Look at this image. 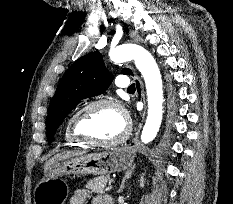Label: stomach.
I'll return each instance as SVG.
<instances>
[{
	"label": "stomach",
	"mask_w": 233,
	"mask_h": 204,
	"mask_svg": "<svg viewBox=\"0 0 233 204\" xmlns=\"http://www.w3.org/2000/svg\"><path fill=\"white\" fill-rule=\"evenodd\" d=\"M136 157L132 147L79 155L52 164L34 190V204H64L67 186L64 175H108L128 169Z\"/></svg>",
	"instance_id": "0dacf381"
}]
</instances>
